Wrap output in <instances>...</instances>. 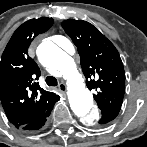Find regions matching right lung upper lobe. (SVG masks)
I'll return each instance as SVG.
<instances>
[{"label": "right lung upper lobe", "mask_w": 147, "mask_h": 147, "mask_svg": "<svg viewBox=\"0 0 147 147\" xmlns=\"http://www.w3.org/2000/svg\"><path fill=\"white\" fill-rule=\"evenodd\" d=\"M52 24L53 19L47 17L26 21L14 32L1 57L0 99L16 128L40 117L59 100V95L39 86V67L27 52L33 39Z\"/></svg>", "instance_id": "right-lung-upper-lobe-1"}]
</instances>
